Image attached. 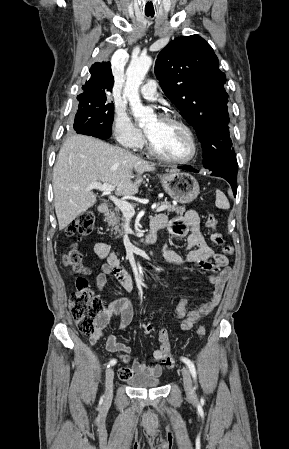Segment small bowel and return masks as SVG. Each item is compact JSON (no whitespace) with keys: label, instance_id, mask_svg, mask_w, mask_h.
<instances>
[{"label":"small bowel","instance_id":"c3829d8e","mask_svg":"<svg viewBox=\"0 0 289 449\" xmlns=\"http://www.w3.org/2000/svg\"><path fill=\"white\" fill-rule=\"evenodd\" d=\"M151 224L159 225L160 228L167 227L173 237H187L186 249L188 252L185 256H181L168 245H164L161 255L166 262L174 265L194 264L204 270L216 273L209 277L212 294L206 303L191 311L187 310L188 300L186 298L180 299L177 304L176 313L181 320L180 327L183 331L190 330L201 317L211 313L219 304L225 284L232 273L228 258L225 255L215 253L208 246L204 239L199 216L193 210H189L184 216L174 218L171 221H167L164 215H158L154 217ZM94 252L100 259L106 261L95 278L97 289L102 291L108 277L112 275L126 291L131 292L134 289L132 276L121 265L117 255L109 250L108 245L104 242H98L94 246ZM113 316L120 317L118 331L124 330L131 324L134 317L132 303L127 298H118L109 303L104 309L98 330L89 339L90 343L96 344L98 341L105 339L107 350L116 353L122 362L128 364L119 371V377L124 381L139 373L159 376L165 366L159 349L153 352L152 359L161 361V363L147 365L144 361L132 359L130 347L119 342L116 334L105 335L104 328Z\"/></svg>","mask_w":289,"mask_h":449}]
</instances>
